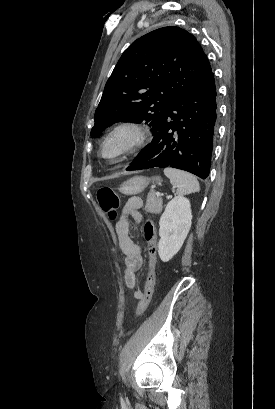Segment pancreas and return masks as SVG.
<instances>
[{
  "mask_svg": "<svg viewBox=\"0 0 275 409\" xmlns=\"http://www.w3.org/2000/svg\"><path fill=\"white\" fill-rule=\"evenodd\" d=\"M145 211H147V213H156V215L162 211V198L161 196H157L154 190L148 192Z\"/></svg>",
  "mask_w": 275,
  "mask_h": 409,
  "instance_id": "cf45deb5",
  "label": "pancreas"
}]
</instances>
